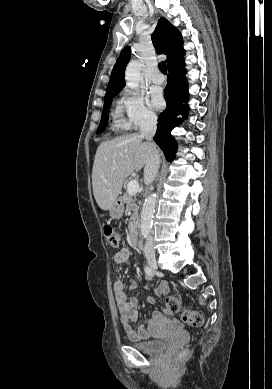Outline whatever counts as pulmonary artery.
<instances>
[{
    "mask_svg": "<svg viewBox=\"0 0 272 389\" xmlns=\"http://www.w3.org/2000/svg\"><path fill=\"white\" fill-rule=\"evenodd\" d=\"M151 81H152V83L159 85V84H162L164 82V77L161 73H159L158 71H155L151 75Z\"/></svg>",
    "mask_w": 272,
    "mask_h": 389,
    "instance_id": "1",
    "label": "pulmonary artery"
}]
</instances>
